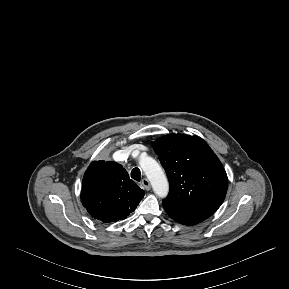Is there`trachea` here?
<instances>
[{
  "label": "trachea",
  "instance_id": "obj_1",
  "mask_svg": "<svg viewBox=\"0 0 289 289\" xmlns=\"http://www.w3.org/2000/svg\"><path fill=\"white\" fill-rule=\"evenodd\" d=\"M131 177L136 180V181H140L141 180V172L140 169L135 167L132 169L131 171Z\"/></svg>",
  "mask_w": 289,
  "mask_h": 289
}]
</instances>
